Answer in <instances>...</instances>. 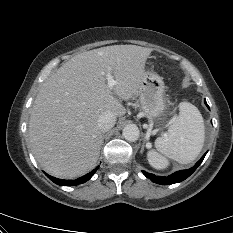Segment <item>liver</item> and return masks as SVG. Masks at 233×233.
Instances as JSON below:
<instances>
[{
	"mask_svg": "<svg viewBox=\"0 0 233 233\" xmlns=\"http://www.w3.org/2000/svg\"><path fill=\"white\" fill-rule=\"evenodd\" d=\"M151 48L113 45L72 57L40 87L31 110L29 139L36 161L47 173L64 179L92 170L103 143L98 118L126 113L118 98L140 90ZM107 73L116 81L106 83ZM118 97V98H117Z\"/></svg>",
	"mask_w": 233,
	"mask_h": 233,
	"instance_id": "6515ba94",
	"label": "liver"
}]
</instances>
